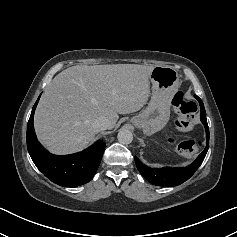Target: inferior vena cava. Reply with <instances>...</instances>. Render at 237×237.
<instances>
[{"instance_id": "1", "label": "inferior vena cava", "mask_w": 237, "mask_h": 237, "mask_svg": "<svg viewBox=\"0 0 237 237\" xmlns=\"http://www.w3.org/2000/svg\"><path fill=\"white\" fill-rule=\"evenodd\" d=\"M93 127L97 131H103L110 128V122L106 117H99L93 122Z\"/></svg>"}]
</instances>
